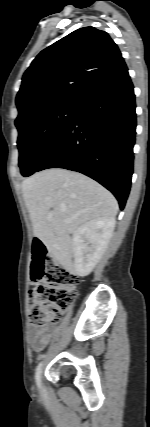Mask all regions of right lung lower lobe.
<instances>
[{
	"label": "right lung lower lobe",
	"mask_w": 150,
	"mask_h": 427,
	"mask_svg": "<svg viewBox=\"0 0 150 427\" xmlns=\"http://www.w3.org/2000/svg\"><path fill=\"white\" fill-rule=\"evenodd\" d=\"M135 107L126 70L78 105L70 125L35 172L48 168L81 172L110 190L123 209L133 174Z\"/></svg>",
	"instance_id": "right-lung-lower-lobe-1"
}]
</instances>
